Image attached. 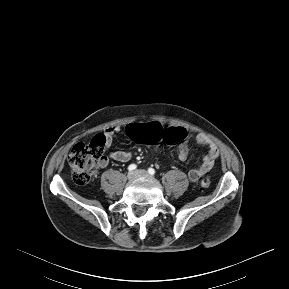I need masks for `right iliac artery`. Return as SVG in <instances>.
Here are the masks:
<instances>
[{
	"label": "right iliac artery",
	"instance_id": "obj_1",
	"mask_svg": "<svg viewBox=\"0 0 289 289\" xmlns=\"http://www.w3.org/2000/svg\"><path fill=\"white\" fill-rule=\"evenodd\" d=\"M137 168V166L135 165V164H130L129 166H128V170L129 171H133V170H135Z\"/></svg>",
	"mask_w": 289,
	"mask_h": 289
}]
</instances>
